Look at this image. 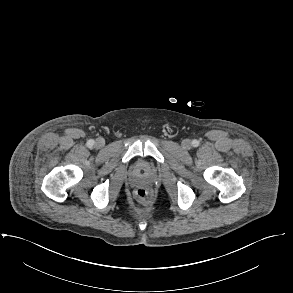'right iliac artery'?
I'll return each mask as SVG.
<instances>
[{"label":"right iliac artery","instance_id":"82829eb1","mask_svg":"<svg viewBox=\"0 0 293 293\" xmlns=\"http://www.w3.org/2000/svg\"><path fill=\"white\" fill-rule=\"evenodd\" d=\"M87 145L89 146V147H92L93 145H94V140H89L88 142H87Z\"/></svg>","mask_w":293,"mask_h":293}]
</instances>
